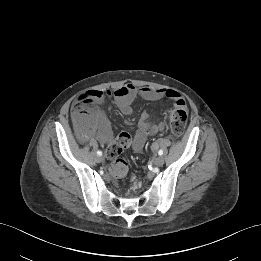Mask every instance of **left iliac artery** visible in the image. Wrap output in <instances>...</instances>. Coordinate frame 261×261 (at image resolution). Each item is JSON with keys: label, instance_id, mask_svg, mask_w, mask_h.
Masks as SVG:
<instances>
[{"label": "left iliac artery", "instance_id": "1", "mask_svg": "<svg viewBox=\"0 0 261 261\" xmlns=\"http://www.w3.org/2000/svg\"><path fill=\"white\" fill-rule=\"evenodd\" d=\"M158 154H159L160 156L163 155V150L160 149V150L158 151Z\"/></svg>", "mask_w": 261, "mask_h": 261}]
</instances>
